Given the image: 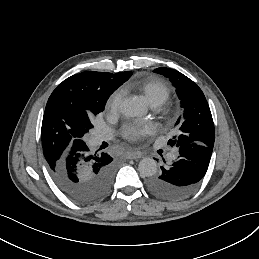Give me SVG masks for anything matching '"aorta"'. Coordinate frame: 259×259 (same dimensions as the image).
I'll return each mask as SVG.
<instances>
[{
  "instance_id": "1",
  "label": "aorta",
  "mask_w": 259,
  "mask_h": 259,
  "mask_svg": "<svg viewBox=\"0 0 259 259\" xmlns=\"http://www.w3.org/2000/svg\"><path fill=\"white\" fill-rule=\"evenodd\" d=\"M120 110L126 117H139L146 113L144 103L135 97L123 100ZM138 170L142 177H151L157 172V162L152 158H144L139 162Z\"/></svg>"
}]
</instances>
